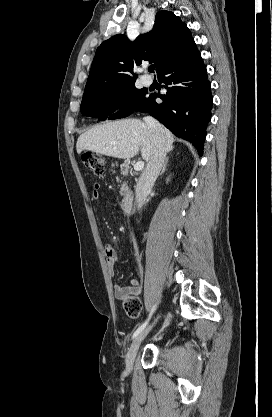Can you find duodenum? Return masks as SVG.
I'll use <instances>...</instances> for the list:
<instances>
[{
  "instance_id": "obj_1",
  "label": "duodenum",
  "mask_w": 272,
  "mask_h": 417,
  "mask_svg": "<svg viewBox=\"0 0 272 417\" xmlns=\"http://www.w3.org/2000/svg\"><path fill=\"white\" fill-rule=\"evenodd\" d=\"M123 174H129L131 171V166L129 163H124L121 167ZM134 204V194L132 191L127 190L124 193V197L121 201V209L124 214L129 215L133 209Z\"/></svg>"
}]
</instances>
